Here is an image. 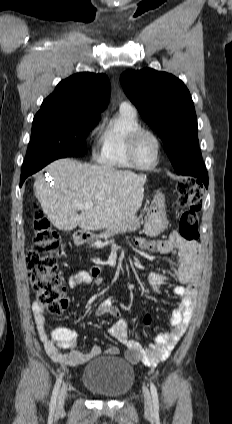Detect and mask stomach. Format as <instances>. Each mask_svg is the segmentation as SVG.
<instances>
[{
	"mask_svg": "<svg viewBox=\"0 0 232 424\" xmlns=\"http://www.w3.org/2000/svg\"><path fill=\"white\" fill-rule=\"evenodd\" d=\"M168 225L164 197L159 195L154 199L144 222V232L149 237H156L162 233Z\"/></svg>",
	"mask_w": 232,
	"mask_h": 424,
	"instance_id": "1",
	"label": "stomach"
}]
</instances>
